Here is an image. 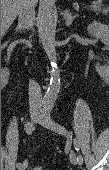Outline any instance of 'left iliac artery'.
<instances>
[{
	"label": "left iliac artery",
	"mask_w": 109,
	"mask_h": 170,
	"mask_svg": "<svg viewBox=\"0 0 109 170\" xmlns=\"http://www.w3.org/2000/svg\"><path fill=\"white\" fill-rule=\"evenodd\" d=\"M51 109H52L51 104L46 105L45 108H44V113L46 115H48L49 117H50ZM74 147H75V150L78 152L79 151V143L76 139H74ZM77 160L79 161L80 164L83 163V157L80 154H78Z\"/></svg>",
	"instance_id": "obj_1"
}]
</instances>
